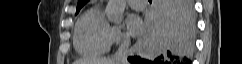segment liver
<instances>
[{
	"label": "liver",
	"instance_id": "1",
	"mask_svg": "<svg viewBox=\"0 0 242 64\" xmlns=\"http://www.w3.org/2000/svg\"><path fill=\"white\" fill-rule=\"evenodd\" d=\"M73 64H117L114 59L98 58V59H80Z\"/></svg>",
	"mask_w": 242,
	"mask_h": 64
}]
</instances>
